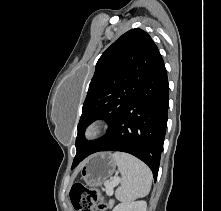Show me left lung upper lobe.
Masks as SVG:
<instances>
[{
	"label": "left lung upper lobe",
	"instance_id": "obj_1",
	"mask_svg": "<svg viewBox=\"0 0 221 211\" xmlns=\"http://www.w3.org/2000/svg\"><path fill=\"white\" fill-rule=\"evenodd\" d=\"M159 55L149 34L138 28L123 34L102 54L83 104L72 168L102 140L86 141L85 128L103 118L108 121L110 131L138 93Z\"/></svg>",
	"mask_w": 221,
	"mask_h": 211
}]
</instances>
